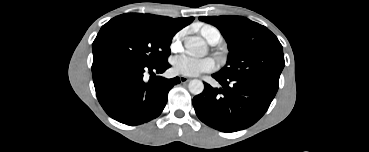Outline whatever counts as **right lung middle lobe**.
<instances>
[{"label":"right lung middle lobe","mask_w":369,"mask_h":152,"mask_svg":"<svg viewBox=\"0 0 369 152\" xmlns=\"http://www.w3.org/2000/svg\"><path fill=\"white\" fill-rule=\"evenodd\" d=\"M174 34L139 24L125 14L100 29L93 48L92 72L113 63L152 66L167 61Z\"/></svg>","instance_id":"obj_1"}]
</instances>
